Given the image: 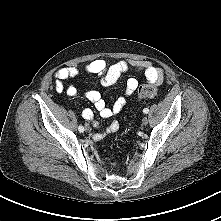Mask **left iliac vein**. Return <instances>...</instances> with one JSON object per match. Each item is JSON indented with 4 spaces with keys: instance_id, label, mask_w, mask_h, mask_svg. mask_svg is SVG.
<instances>
[{
    "instance_id": "left-iliac-vein-1",
    "label": "left iliac vein",
    "mask_w": 221,
    "mask_h": 221,
    "mask_svg": "<svg viewBox=\"0 0 221 221\" xmlns=\"http://www.w3.org/2000/svg\"><path fill=\"white\" fill-rule=\"evenodd\" d=\"M142 124H143V125H147V124H148V118H147V117H144V118L142 119Z\"/></svg>"
}]
</instances>
